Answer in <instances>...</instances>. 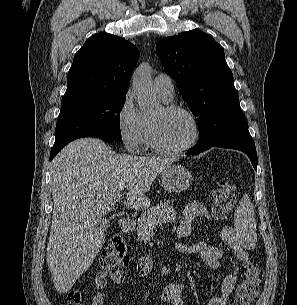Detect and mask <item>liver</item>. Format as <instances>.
I'll return each instance as SVG.
<instances>
[{"mask_svg": "<svg viewBox=\"0 0 297 305\" xmlns=\"http://www.w3.org/2000/svg\"><path fill=\"white\" fill-rule=\"evenodd\" d=\"M171 158L115 154L100 139L81 138L63 148L51 164L54 202L47 264L59 293L68 292L105 242L98 228L114 198L127 189V203L149 206L146 194Z\"/></svg>", "mask_w": 297, "mask_h": 305, "instance_id": "obj_1", "label": "liver"}]
</instances>
